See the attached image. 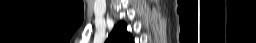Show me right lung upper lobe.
<instances>
[{
  "label": "right lung upper lobe",
  "mask_w": 256,
  "mask_h": 43,
  "mask_svg": "<svg viewBox=\"0 0 256 43\" xmlns=\"http://www.w3.org/2000/svg\"><path fill=\"white\" fill-rule=\"evenodd\" d=\"M108 43H133V37L127 32V26L124 22H119L112 30Z\"/></svg>",
  "instance_id": "obj_1"
}]
</instances>
